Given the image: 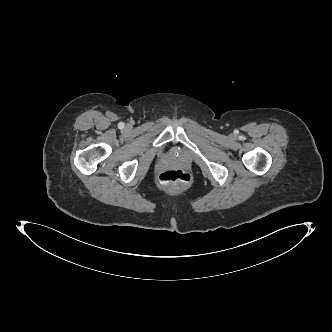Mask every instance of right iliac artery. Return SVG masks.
Wrapping results in <instances>:
<instances>
[{
    "instance_id": "1",
    "label": "right iliac artery",
    "mask_w": 332,
    "mask_h": 332,
    "mask_svg": "<svg viewBox=\"0 0 332 332\" xmlns=\"http://www.w3.org/2000/svg\"><path fill=\"white\" fill-rule=\"evenodd\" d=\"M123 126H124V124H123V123H120V124H119V127H120V128H122Z\"/></svg>"
}]
</instances>
